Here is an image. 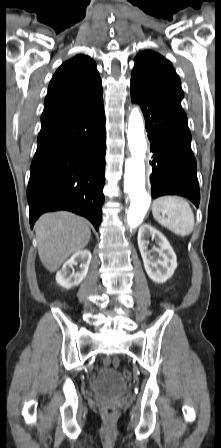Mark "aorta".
Returning <instances> with one entry per match:
<instances>
[{"label": "aorta", "mask_w": 221, "mask_h": 448, "mask_svg": "<svg viewBox=\"0 0 221 448\" xmlns=\"http://www.w3.org/2000/svg\"><path fill=\"white\" fill-rule=\"evenodd\" d=\"M127 138L131 158L125 162L124 190L131 202L127 223L134 228L142 222L151 202V197L145 189L144 159L147 142L143 118L138 107H134L129 116Z\"/></svg>", "instance_id": "aorta-1"}]
</instances>
